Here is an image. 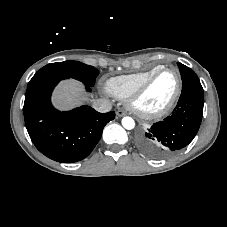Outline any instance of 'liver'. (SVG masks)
Here are the masks:
<instances>
[{
	"mask_svg": "<svg viewBox=\"0 0 227 227\" xmlns=\"http://www.w3.org/2000/svg\"><path fill=\"white\" fill-rule=\"evenodd\" d=\"M85 100L87 98L83 96V87L75 80L61 82L53 94V102L60 109L73 108Z\"/></svg>",
	"mask_w": 227,
	"mask_h": 227,
	"instance_id": "1",
	"label": "liver"
}]
</instances>
